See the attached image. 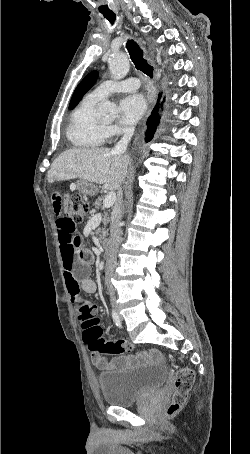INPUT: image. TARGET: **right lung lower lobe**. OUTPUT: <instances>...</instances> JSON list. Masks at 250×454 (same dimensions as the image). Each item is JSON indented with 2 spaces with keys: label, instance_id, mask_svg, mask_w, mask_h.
I'll use <instances>...</instances> for the list:
<instances>
[{
  "label": "right lung lower lobe",
  "instance_id": "98d812e1",
  "mask_svg": "<svg viewBox=\"0 0 250 454\" xmlns=\"http://www.w3.org/2000/svg\"><path fill=\"white\" fill-rule=\"evenodd\" d=\"M159 108H160V103H159V100H158L156 105H155V107H154V109H153V111H152V114L149 116V118L147 120V129H146V132H145V135H146L145 140H146V142L152 140V138L154 136V133L156 131V128H157V126L159 124V121H160V117L158 115Z\"/></svg>",
  "mask_w": 250,
  "mask_h": 454
}]
</instances>
